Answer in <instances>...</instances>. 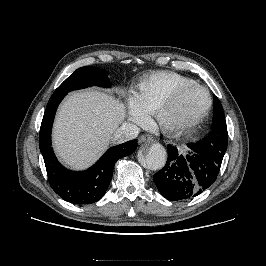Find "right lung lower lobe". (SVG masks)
Masks as SVG:
<instances>
[{"label": "right lung lower lobe", "mask_w": 266, "mask_h": 266, "mask_svg": "<svg viewBox=\"0 0 266 266\" xmlns=\"http://www.w3.org/2000/svg\"><path fill=\"white\" fill-rule=\"evenodd\" d=\"M66 94L54 92L47 104L40 128V151L52 189L70 203L91 204L104 196L116 161L133 153L137 148V140L110 148L86 171L75 172L64 168L56 159L51 147V129L56 109Z\"/></svg>", "instance_id": "1"}]
</instances>
